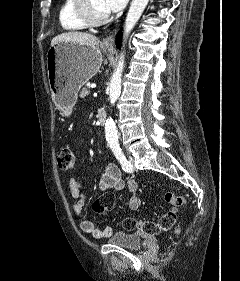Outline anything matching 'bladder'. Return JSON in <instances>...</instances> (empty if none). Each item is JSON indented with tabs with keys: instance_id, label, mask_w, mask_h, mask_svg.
<instances>
[{
	"instance_id": "31cf9c89",
	"label": "bladder",
	"mask_w": 240,
	"mask_h": 281,
	"mask_svg": "<svg viewBox=\"0 0 240 281\" xmlns=\"http://www.w3.org/2000/svg\"><path fill=\"white\" fill-rule=\"evenodd\" d=\"M146 237L139 232H116L109 238V243L130 250H138L145 244Z\"/></svg>"
}]
</instances>
